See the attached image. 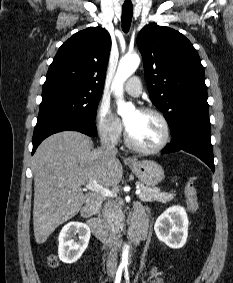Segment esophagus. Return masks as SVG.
<instances>
[{"label":"esophagus","mask_w":233,"mask_h":283,"mask_svg":"<svg viewBox=\"0 0 233 283\" xmlns=\"http://www.w3.org/2000/svg\"><path fill=\"white\" fill-rule=\"evenodd\" d=\"M127 161H128V162H132V161H133V159H131V158H128V159H127Z\"/></svg>","instance_id":"obj_1"}]
</instances>
